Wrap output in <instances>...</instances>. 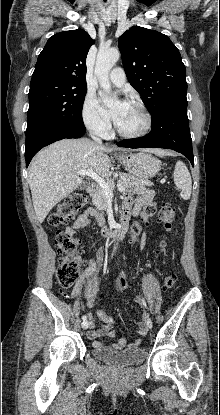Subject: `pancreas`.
<instances>
[{
	"instance_id": "cf45deb5",
	"label": "pancreas",
	"mask_w": 220,
	"mask_h": 415,
	"mask_svg": "<svg viewBox=\"0 0 220 415\" xmlns=\"http://www.w3.org/2000/svg\"><path fill=\"white\" fill-rule=\"evenodd\" d=\"M108 182L114 187V179H110ZM118 185H122L126 189L137 191L144 186H152L153 183L147 179L139 178L131 174L119 173ZM91 197L93 205H95L98 210L107 209V197L99 185H96L91 191Z\"/></svg>"
}]
</instances>
